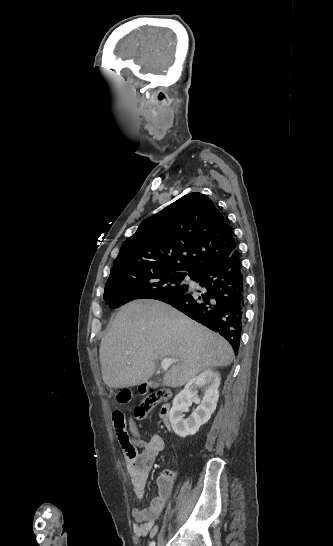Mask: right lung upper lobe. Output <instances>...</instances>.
<instances>
[{
    "instance_id": "obj_1",
    "label": "right lung upper lobe",
    "mask_w": 333,
    "mask_h": 546,
    "mask_svg": "<svg viewBox=\"0 0 333 546\" xmlns=\"http://www.w3.org/2000/svg\"><path fill=\"white\" fill-rule=\"evenodd\" d=\"M234 250L236 242L222 213L205 195L190 193L144 220L124 241L111 270L136 267L195 276Z\"/></svg>"
}]
</instances>
